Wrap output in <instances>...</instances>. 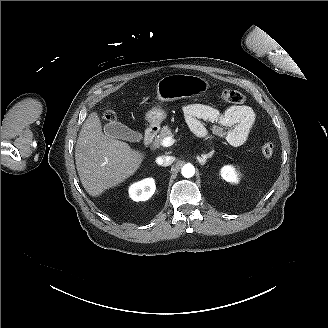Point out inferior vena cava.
<instances>
[{
    "label": "inferior vena cava",
    "instance_id": "602c4592",
    "mask_svg": "<svg viewBox=\"0 0 328 328\" xmlns=\"http://www.w3.org/2000/svg\"><path fill=\"white\" fill-rule=\"evenodd\" d=\"M173 161H174L173 156H166V155L157 157V159H156L157 164L164 166V167L171 165L173 163Z\"/></svg>",
    "mask_w": 328,
    "mask_h": 328
}]
</instances>
